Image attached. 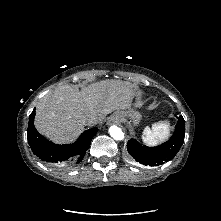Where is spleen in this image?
<instances>
[{
  "instance_id": "spleen-1",
  "label": "spleen",
  "mask_w": 221,
  "mask_h": 221,
  "mask_svg": "<svg viewBox=\"0 0 221 221\" xmlns=\"http://www.w3.org/2000/svg\"><path fill=\"white\" fill-rule=\"evenodd\" d=\"M142 141L148 146H155L160 141L167 138L169 134V123H155L151 128L145 127L143 131Z\"/></svg>"
}]
</instances>
